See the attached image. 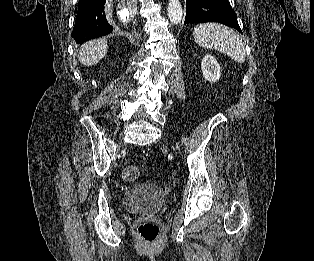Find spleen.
<instances>
[{"mask_svg":"<svg viewBox=\"0 0 314 261\" xmlns=\"http://www.w3.org/2000/svg\"><path fill=\"white\" fill-rule=\"evenodd\" d=\"M195 42L204 48L218 50L238 63L246 59L245 44L240 35L218 23H203L193 30Z\"/></svg>","mask_w":314,"mask_h":261,"instance_id":"3e777b00","label":"spleen"}]
</instances>
